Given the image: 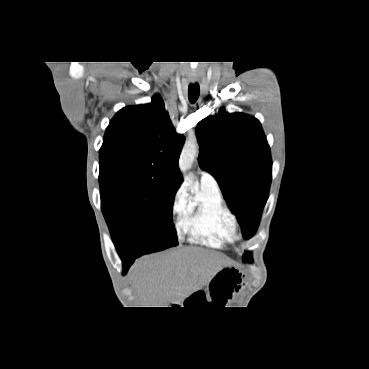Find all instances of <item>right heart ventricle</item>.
Here are the masks:
<instances>
[{
	"label": "right heart ventricle",
	"mask_w": 369,
	"mask_h": 369,
	"mask_svg": "<svg viewBox=\"0 0 369 369\" xmlns=\"http://www.w3.org/2000/svg\"><path fill=\"white\" fill-rule=\"evenodd\" d=\"M190 241L221 248L236 238L235 223L218 188L201 185L186 199L179 222Z\"/></svg>",
	"instance_id": "1"
}]
</instances>
